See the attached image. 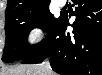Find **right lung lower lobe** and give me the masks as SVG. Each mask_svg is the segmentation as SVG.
Masks as SVG:
<instances>
[{"instance_id":"1","label":"right lung lower lobe","mask_w":102,"mask_h":75,"mask_svg":"<svg viewBox=\"0 0 102 75\" xmlns=\"http://www.w3.org/2000/svg\"><path fill=\"white\" fill-rule=\"evenodd\" d=\"M73 2L76 19L72 34L66 32L67 15L61 14L44 42L22 59V64L50 57L52 69L61 75H102V1Z\"/></svg>"}]
</instances>
